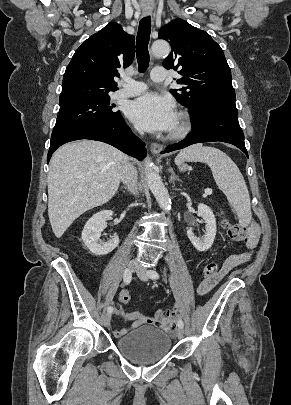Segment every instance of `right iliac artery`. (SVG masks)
I'll use <instances>...</instances> for the list:
<instances>
[{
  "label": "right iliac artery",
  "instance_id": "1",
  "mask_svg": "<svg viewBox=\"0 0 291 405\" xmlns=\"http://www.w3.org/2000/svg\"><path fill=\"white\" fill-rule=\"evenodd\" d=\"M131 279H132L131 271H129V269H126L124 274H123L124 283L126 285H128L131 282ZM107 311H108V313H112L113 312V307H111V306L108 307Z\"/></svg>",
  "mask_w": 291,
  "mask_h": 405
}]
</instances>
